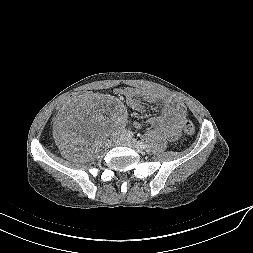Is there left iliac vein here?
<instances>
[{
  "label": "left iliac vein",
  "mask_w": 253,
  "mask_h": 253,
  "mask_svg": "<svg viewBox=\"0 0 253 253\" xmlns=\"http://www.w3.org/2000/svg\"><path fill=\"white\" fill-rule=\"evenodd\" d=\"M123 145H126V146L134 149L137 152H142V148H140L139 142H137L136 139H134L132 137L131 138L126 137L123 142Z\"/></svg>",
  "instance_id": "4c4485c4"
}]
</instances>
